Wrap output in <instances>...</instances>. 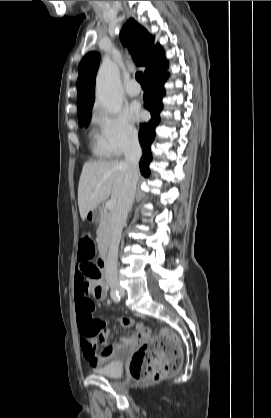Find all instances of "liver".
<instances>
[{
	"mask_svg": "<svg viewBox=\"0 0 271 418\" xmlns=\"http://www.w3.org/2000/svg\"><path fill=\"white\" fill-rule=\"evenodd\" d=\"M126 165L123 161H89L83 165L78 186V206L82 220L89 211L111 196L116 203L122 192Z\"/></svg>",
	"mask_w": 271,
	"mask_h": 418,
	"instance_id": "obj_1",
	"label": "liver"
}]
</instances>
